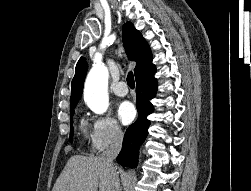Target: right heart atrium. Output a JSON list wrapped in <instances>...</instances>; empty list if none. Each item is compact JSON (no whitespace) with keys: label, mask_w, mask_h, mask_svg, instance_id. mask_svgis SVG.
<instances>
[{"label":"right heart atrium","mask_w":251,"mask_h":191,"mask_svg":"<svg viewBox=\"0 0 251 191\" xmlns=\"http://www.w3.org/2000/svg\"><path fill=\"white\" fill-rule=\"evenodd\" d=\"M124 133L111 116H98L94 119L90 139L96 151H103L111 145L120 144Z\"/></svg>","instance_id":"d8ad5b80"}]
</instances>
